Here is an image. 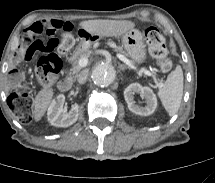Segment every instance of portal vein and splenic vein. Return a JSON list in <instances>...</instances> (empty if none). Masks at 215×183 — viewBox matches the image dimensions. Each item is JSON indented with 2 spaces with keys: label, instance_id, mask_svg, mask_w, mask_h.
<instances>
[{
  "label": "portal vein and splenic vein",
  "instance_id": "obj_1",
  "mask_svg": "<svg viewBox=\"0 0 215 183\" xmlns=\"http://www.w3.org/2000/svg\"><path fill=\"white\" fill-rule=\"evenodd\" d=\"M117 57H118L121 61H123L124 63H126L127 65H129L130 67L133 68V66L131 65V62H130L125 56H123L122 54H117ZM87 64H88V58H81V59L79 60V65H80L82 68H83V67H86ZM144 73H145L146 75L152 76L153 78L156 79V75H155L154 73H152V72H150V71H144ZM161 85H162V84L160 83V86H161Z\"/></svg>",
  "mask_w": 215,
  "mask_h": 183
}]
</instances>
